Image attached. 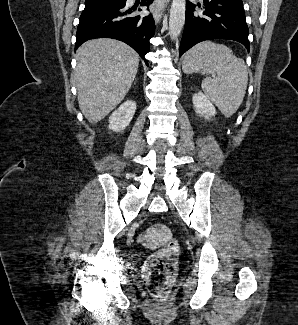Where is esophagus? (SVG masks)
Returning a JSON list of instances; mask_svg holds the SVG:
<instances>
[{
  "label": "esophagus",
  "mask_w": 298,
  "mask_h": 325,
  "mask_svg": "<svg viewBox=\"0 0 298 325\" xmlns=\"http://www.w3.org/2000/svg\"><path fill=\"white\" fill-rule=\"evenodd\" d=\"M168 1L169 0H156L155 6L151 8L156 23H158L161 20Z\"/></svg>",
  "instance_id": "obj_1"
}]
</instances>
